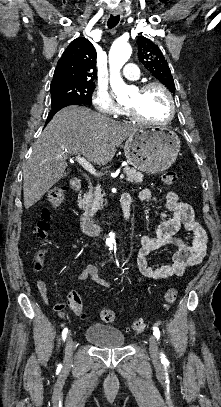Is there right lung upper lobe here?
I'll use <instances>...</instances> for the list:
<instances>
[{"instance_id":"obj_1","label":"right lung upper lobe","mask_w":221,"mask_h":407,"mask_svg":"<svg viewBox=\"0 0 221 407\" xmlns=\"http://www.w3.org/2000/svg\"><path fill=\"white\" fill-rule=\"evenodd\" d=\"M96 58V50L90 41L83 37L73 40L57 63L50 89L93 82L97 77Z\"/></svg>"}]
</instances>
